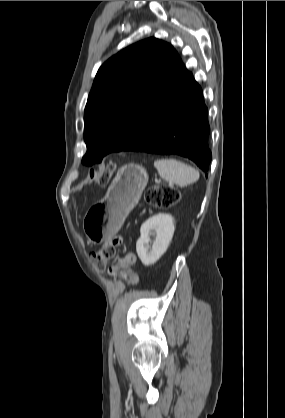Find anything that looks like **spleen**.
Instances as JSON below:
<instances>
[{"instance_id":"1","label":"spleen","mask_w":285,"mask_h":418,"mask_svg":"<svg viewBox=\"0 0 285 418\" xmlns=\"http://www.w3.org/2000/svg\"><path fill=\"white\" fill-rule=\"evenodd\" d=\"M154 166L164 180L181 187L198 181L200 176L195 168L176 159L155 160Z\"/></svg>"}]
</instances>
